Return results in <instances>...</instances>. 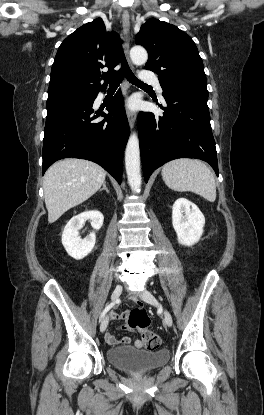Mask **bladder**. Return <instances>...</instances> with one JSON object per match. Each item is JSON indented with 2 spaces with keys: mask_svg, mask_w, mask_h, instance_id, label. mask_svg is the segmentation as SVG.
<instances>
[{
  "mask_svg": "<svg viewBox=\"0 0 264 415\" xmlns=\"http://www.w3.org/2000/svg\"><path fill=\"white\" fill-rule=\"evenodd\" d=\"M105 356L115 368L132 373H142L165 365L169 360V351L166 348L151 350L123 346L108 349Z\"/></svg>",
  "mask_w": 264,
  "mask_h": 415,
  "instance_id": "bladder-1",
  "label": "bladder"
}]
</instances>
